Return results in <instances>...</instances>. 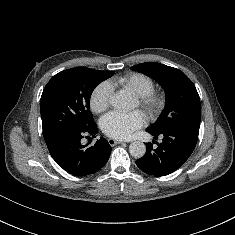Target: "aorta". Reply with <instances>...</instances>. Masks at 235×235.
I'll list each match as a JSON object with an SVG mask.
<instances>
[{
	"label": "aorta",
	"mask_w": 235,
	"mask_h": 235,
	"mask_svg": "<svg viewBox=\"0 0 235 235\" xmlns=\"http://www.w3.org/2000/svg\"><path fill=\"white\" fill-rule=\"evenodd\" d=\"M129 97L123 92H118L111 96L110 104L118 110H124L129 107ZM129 152L134 158H142L146 153V146L143 142L134 141L129 145Z\"/></svg>",
	"instance_id": "obj_1"
}]
</instances>
